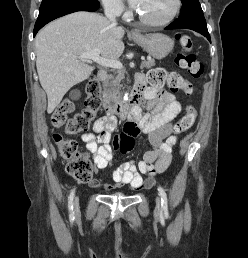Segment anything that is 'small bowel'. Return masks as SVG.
<instances>
[{
  "instance_id": "obj_1",
  "label": "small bowel",
  "mask_w": 248,
  "mask_h": 258,
  "mask_svg": "<svg viewBox=\"0 0 248 258\" xmlns=\"http://www.w3.org/2000/svg\"><path fill=\"white\" fill-rule=\"evenodd\" d=\"M137 79L144 84L142 95L144 94L143 104L147 112L144 113L139 107L125 123L124 131L132 139L144 135L151 149L143 154L137 164L132 160L120 164L112 174L114 185L95 180L93 187L111 191L128 185L135 190H154L157 186L156 180L153 177L143 178L142 174H146L151 166L157 173H162L171 162L172 147L177 140L172 134L173 121L181 112V104L173 93L163 87L146 86L144 76L139 75ZM116 125V119L107 114L93 123V132L82 135L97 169L107 168L112 161L109 142Z\"/></svg>"
}]
</instances>
